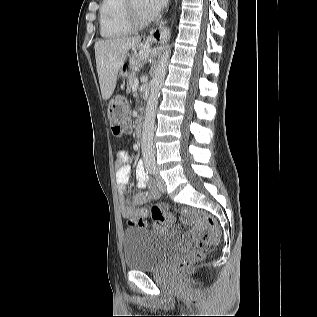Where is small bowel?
I'll return each mask as SVG.
<instances>
[{
	"instance_id": "small-bowel-1",
	"label": "small bowel",
	"mask_w": 317,
	"mask_h": 317,
	"mask_svg": "<svg viewBox=\"0 0 317 317\" xmlns=\"http://www.w3.org/2000/svg\"><path fill=\"white\" fill-rule=\"evenodd\" d=\"M117 170H116V182L121 194L128 193V183L131 174L130 157L125 151H120L117 154ZM137 187L145 188L148 183V176L144 170L142 164H138L136 168ZM148 196L150 198H157L159 192L154 186H150L148 189ZM146 202V198L143 196H128L122 198L121 214L124 218H130L132 220L146 219L149 216L148 210L145 206L137 207ZM161 233L174 236L175 230L171 222H166L164 226L157 228ZM197 234V230H191L186 238L194 237Z\"/></svg>"
}]
</instances>
